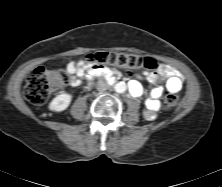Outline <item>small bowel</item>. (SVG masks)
<instances>
[{
	"label": "small bowel",
	"instance_id": "obj_1",
	"mask_svg": "<svg viewBox=\"0 0 222 187\" xmlns=\"http://www.w3.org/2000/svg\"><path fill=\"white\" fill-rule=\"evenodd\" d=\"M67 71L71 75L70 84L73 87L79 86L82 79L90 73L89 68L82 64L80 60L70 62L67 65ZM139 78L146 79L149 83L157 85L151 90L145 102L143 114L147 120L156 118V112L159 109V98L165 89L177 92L183 86L182 74L165 64L159 65L156 71H143ZM129 91L132 96L140 97L143 93V88L137 80H133L129 83Z\"/></svg>",
	"mask_w": 222,
	"mask_h": 187
}]
</instances>
